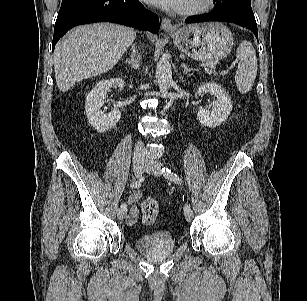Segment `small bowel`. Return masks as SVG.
I'll return each instance as SVG.
<instances>
[{
  "mask_svg": "<svg viewBox=\"0 0 307 301\" xmlns=\"http://www.w3.org/2000/svg\"><path fill=\"white\" fill-rule=\"evenodd\" d=\"M142 197L143 193L141 191H135L129 195L128 203L130 205V210L126 218V223L128 225H133L137 221L140 214L137 203L142 199Z\"/></svg>",
  "mask_w": 307,
  "mask_h": 301,
  "instance_id": "1",
  "label": "small bowel"
}]
</instances>
